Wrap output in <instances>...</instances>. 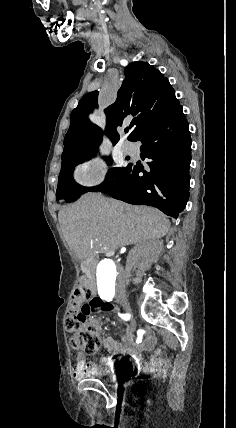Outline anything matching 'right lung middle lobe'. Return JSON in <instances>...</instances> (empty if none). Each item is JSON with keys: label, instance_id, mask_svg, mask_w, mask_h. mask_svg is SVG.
I'll return each mask as SVG.
<instances>
[{"label": "right lung middle lobe", "instance_id": "dd1d6c3e", "mask_svg": "<svg viewBox=\"0 0 236 428\" xmlns=\"http://www.w3.org/2000/svg\"><path fill=\"white\" fill-rule=\"evenodd\" d=\"M92 155L86 156L84 158H81L75 162H73L71 165H69L67 168L61 170L58 178V187L56 191V199L57 200H65L66 202H74L76 201L82 194L87 192H97L100 189L107 186L118 174V172L122 169L120 167H115L109 170L106 180L98 186L95 187H83L79 184H77L73 179V167L78 165L79 163L84 162L85 160L90 159ZM108 165L112 164L111 158H106Z\"/></svg>", "mask_w": 236, "mask_h": 428}]
</instances>
